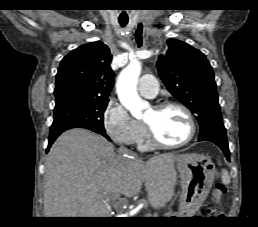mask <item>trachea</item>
I'll return each instance as SVG.
<instances>
[{"mask_svg":"<svg viewBox=\"0 0 258 227\" xmlns=\"http://www.w3.org/2000/svg\"><path fill=\"white\" fill-rule=\"evenodd\" d=\"M119 23H120V25L122 26V27H125L126 25H127V23H128V20H119Z\"/></svg>","mask_w":258,"mask_h":227,"instance_id":"3493384b","label":"trachea"}]
</instances>
